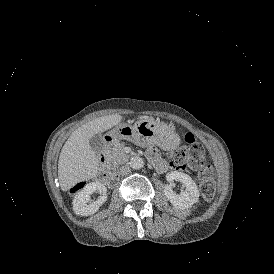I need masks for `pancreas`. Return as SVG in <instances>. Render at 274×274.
<instances>
[{
  "label": "pancreas",
  "mask_w": 274,
  "mask_h": 274,
  "mask_svg": "<svg viewBox=\"0 0 274 274\" xmlns=\"http://www.w3.org/2000/svg\"><path fill=\"white\" fill-rule=\"evenodd\" d=\"M103 155L107 162H110L114 168H117L121 164H125L129 155L124 151V143H115L113 147H106L103 151Z\"/></svg>",
  "instance_id": "cf45deb5"
}]
</instances>
